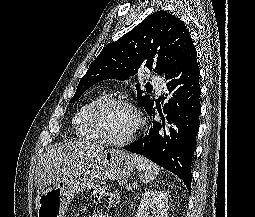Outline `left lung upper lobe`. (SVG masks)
I'll list each match as a JSON object with an SVG mask.
<instances>
[{
	"instance_id": "left-lung-upper-lobe-1",
	"label": "left lung upper lobe",
	"mask_w": 255,
	"mask_h": 217,
	"mask_svg": "<svg viewBox=\"0 0 255 217\" xmlns=\"http://www.w3.org/2000/svg\"><path fill=\"white\" fill-rule=\"evenodd\" d=\"M193 45L183 22L166 11L147 16L131 31L108 44L90 64L80 80L70 103L76 101L94 84L107 80H127L140 67L153 69L160 76L174 68L182 54ZM137 87V101L149 112L153 107L150 96H143Z\"/></svg>"
}]
</instances>
